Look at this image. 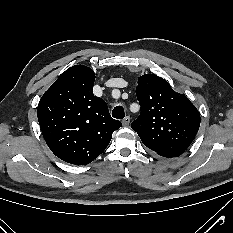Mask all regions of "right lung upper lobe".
<instances>
[{
    "mask_svg": "<svg viewBox=\"0 0 233 233\" xmlns=\"http://www.w3.org/2000/svg\"><path fill=\"white\" fill-rule=\"evenodd\" d=\"M94 71L75 65L62 73L39 101L43 137L61 160L86 165L108 146L122 126L111 118L106 102L93 94Z\"/></svg>",
    "mask_w": 233,
    "mask_h": 233,
    "instance_id": "1",
    "label": "right lung upper lobe"
}]
</instances>
